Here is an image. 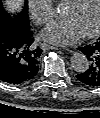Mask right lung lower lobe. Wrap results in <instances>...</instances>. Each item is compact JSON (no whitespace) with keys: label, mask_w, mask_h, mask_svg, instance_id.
<instances>
[{"label":"right lung lower lobe","mask_w":100,"mask_h":118,"mask_svg":"<svg viewBox=\"0 0 100 118\" xmlns=\"http://www.w3.org/2000/svg\"><path fill=\"white\" fill-rule=\"evenodd\" d=\"M41 53L30 29L17 36L1 33L0 80L15 85L31 81L38 72Z\"/></svg>","instance_id":"98d812e1"}]
</instances>
